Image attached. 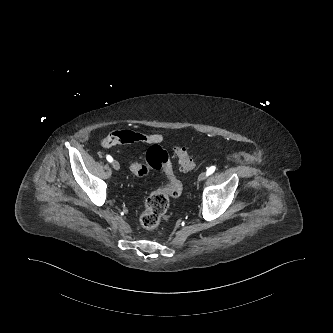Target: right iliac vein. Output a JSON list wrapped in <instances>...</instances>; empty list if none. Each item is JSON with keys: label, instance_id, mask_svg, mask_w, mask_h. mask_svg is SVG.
Segmentation results:
<instances>
[{"label": "right iliac vein", "instance_id": "obj_1", "mask_svg": "<svg viewBox=\"0 0 333 333\" xmlns=\"http://www.w3.org/2000/svg\"><path fill=\"white\" fill-rule=\"evenodd\" d=\"M112 166H113V168H114L116 171H119V170H120V164H119L118 161L114 160V161L112 162Z\"/></svg>", "mask_w": 333, "mask_h": 333}]
</instances>
